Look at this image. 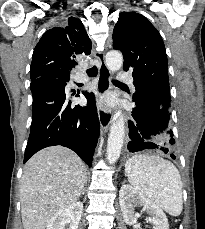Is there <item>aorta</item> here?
Listing matches in <instances>:
<instances>
[{
    "mask_svg": "<svg viewBox=\"0 0 205 229\" xmlns=\"http://www.w3.org/2000/svg\"><path fill=\"white\" fill-rule=\"evenodd\" d=\"M106 65L111 72H116L123 65V56L118 51H109L106 54ZM125 135V122L122 112L116 111L113 116L110 126V133L107 141V161L109 164H114L121 153Z\"/></svg>",
    "mask_w": 205,
    "mask_h": 229,
    "instance_id": "1",
    "label": "aorta"
}]
</instances>
